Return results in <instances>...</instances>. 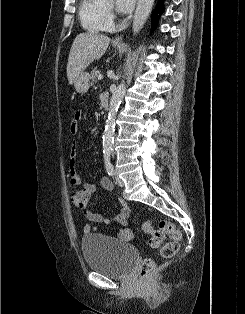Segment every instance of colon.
<instances>
[{"label":"colon","instance_id":"5ec220e1","mask_svg":"<svg viewBox=\"0 0 245 314\" xmlns=\"http://www.w3.org/2000/svg\"><path fill=\"white\" fill-rule=\"evenodd\" d=\"M89 193L85 190H79L73 193L72 202L73 204L84 209L89 201ZM144 232L149 235V243L152 247L160 248V255L164 258L172 257L179 248V242L182 238L181 232L169 221L161 220L158 224V228H154L150 221H146L143 225ZM164 234L170 236V241L162 244ZM154 268V262L151 259H145L140 264V276L146 278Z\"/></svg>","mask_w":245,"mask_h":314}]
</instances>
